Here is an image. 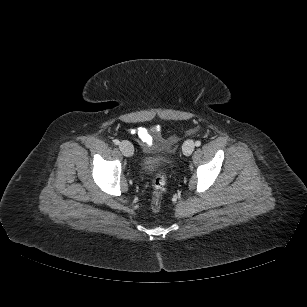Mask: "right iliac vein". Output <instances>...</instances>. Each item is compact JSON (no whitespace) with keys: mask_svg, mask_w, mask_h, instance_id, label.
Here are the masks:
<instances>
[{"mask_svg":"<svg viewBox=\"0 0 307 307\" xmlns=\"http://www.w3.org/2000/svg\"><path fill=\"white\" fill-rule=\"evenodd\" d=\"M119 149L122 152V154L126 157L132 156L134 152L132 144L128 141H122L119 144Z\"/></svg>","mask_w":307,"mask_h":307,"instance_id":"right-iliac-vein-1","label":"right iliac vein"}]
</instances>
